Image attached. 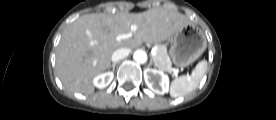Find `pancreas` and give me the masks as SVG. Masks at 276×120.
I'll return each mask as SVG.
<instances>
[{
	"instance_id": "1",
	"label": "pancreas",
	"mask_w": 276,
	"mask_h": 120,
	"mask_svg": "<svg viewBox=\"0 0 276 120\" xmlns=\"http://www.w3.org/2000/svg\"><path fill=\"white\" fill-rule=\"evenodd\" d=\"M155 66L162 71H167L171 68L170 58L167 54V49L164 45H161L156 50V56L153 57Z\"/></svg>"
}]
</instances>
